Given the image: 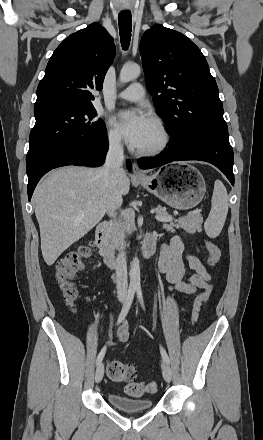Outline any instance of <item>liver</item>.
Wrapping results in <instances>:
<instances>
[{"instance_id": "6515ba94", "label": "liver", "mask_w": 263, "mask_h": 440, "mask_svg": "<svg viewBox=\"0 0 263 440\" xmlns=\"http://www.w3.org/2000/svg\"><path fill=\"white\" fill-rule=\"evenodd\" d=\"M118 186L121 195L128 194L130 179L125 171ZM107 188L103 168L74 166L52 171L36 187L33 201L47 265H53L102 220L107 212Z\"/></svg>"}]
</instances>
